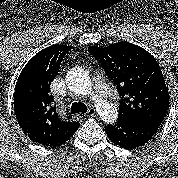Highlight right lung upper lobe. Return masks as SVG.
Returning <instances> with one entry per match:
<instances>
[{"label":"right lung upper lobe","instance_id":"obj_1","mask_svg":"<svg viewBox=\"0 0 178 178\" xmlns=\"http://www.w3.org/2000/svg\"><path fill=\"white\" fill-rule=\"evenodd\" d=\"M71 48L56 44L38 52L23 68L15 87L14 111L22 131L46 147L62 145L80 126L58 114L50 92V84Z\"/></svg>","mask_w":178,"mask_h":178}]
</instances>
